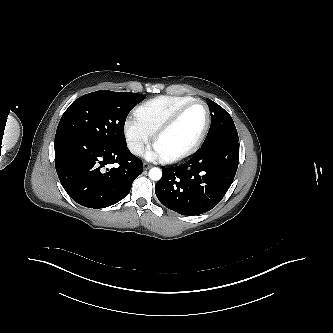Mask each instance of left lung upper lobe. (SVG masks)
Returning <instances> with one entry per match:
<instances>
[{"instance_id":"1","label":"left lung upper lobe","mask_w":333,"mask_h":333,"mask_svg":"<svg viewBox=\"0 0 333 333\" xmlns=\"http://www.w3.org/2000/svg\"><path fill=\"white\" fill-rule=\"evenodd\" d=\"M207 104L211 112V125L206 139L201 147L219 140H239L238 133L231 116L212 100L207 99Z\"/></svg>"}]
</instances>
